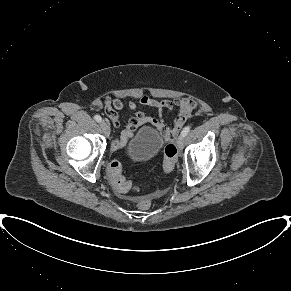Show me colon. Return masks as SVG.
<instances>
[{
    "label": "colon",
    "mask_w": 291,
    "mask_h": 291,
    "mask_svg": "<svg viewBox=\"0 0 291 291\" xmlns=\"http://www.w3.org/2000/svg\"><path fill=\"white\" fill-rule=\"evenodd\" d=\"M163 171L171 173L177 162V148L173 143L167 144L164 148ZM109 179L114 189L119 194L128 193L133 189V184L124 175L122 165L119 161H112L108 168ZM152 202L150 198L143 197L138 200L137 207L140 210L146 211L150 209Z\"/></svg>",
    "instance_id": "1"
}]
</instances>
